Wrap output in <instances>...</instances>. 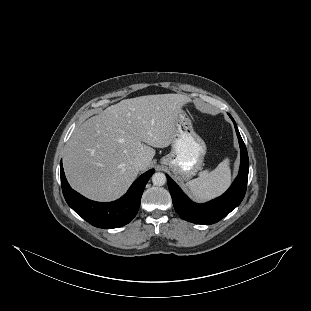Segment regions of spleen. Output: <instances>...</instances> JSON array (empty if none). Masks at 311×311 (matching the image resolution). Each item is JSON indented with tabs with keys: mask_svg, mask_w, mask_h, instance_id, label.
Wrapping results in <instances>:
<instances>
[{
	"mask_svg": "<svg viewBox=\"0 0 311 311\" xmlns=\"http://www.w3.org/2000/svg\"><path fill=\"white\" fill-rule=\"evenodd\" d=\"M231 184L230 160L224 159L212 170H204L199 177L186 183L191 195L197 201H206L221 195Z\"/></svg>",
	"mask_w": 311,
	"mask_h": 311,
	"instance_id": "obj_1",
	"label": "spleen"
}]
</instances>
